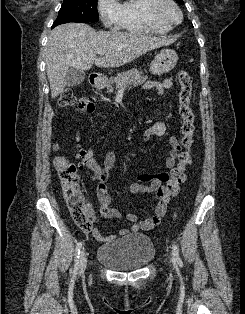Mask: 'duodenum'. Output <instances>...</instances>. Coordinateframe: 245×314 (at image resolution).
<instances>
[{"label": "duodenum", "instance_id": "410a0bca", "mask_svg": "<svg viewBox=\"0 0 245 314\" xmlns=\"http://www.w3.org/2000/svg\"><path fill=\"white\" fill-rule=\"evenodd\" d=\"M90 82H91V85L95 88H99L100 87V83H101V79L96 76V75H93L90 77Z\"/></svg>", "mask_w": 245, "mask_h": 314}]
</instances>
